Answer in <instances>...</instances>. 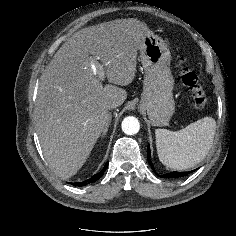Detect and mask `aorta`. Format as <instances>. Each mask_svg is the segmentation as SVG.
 I'll use <instances>...</instances> for the list:
<instances>
[{
    "label": "aorta",
    "mask_w": 236,
    "mask_h": 236,
    "mask_svg": "<svg viewBox=\"0 0 236 236\" xmlns=\"http://www.w3.org/2000/svg\"><path fill=\"white\" fill-rule=\"evenodd\" d=\"M140 124L137 118L129 116L122 121V130L127 135H134L138 133Z\"/></svg>",
    "instance_id": "aorta-1"
}]
</instances>
